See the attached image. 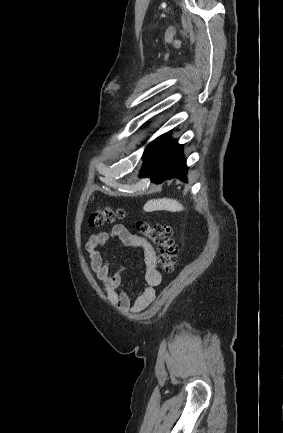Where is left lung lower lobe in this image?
<instances>
[{"mask_svg":"<svg viewBox=\"0 0 283 433\" xmlns=\"http://www.w3.org/2000/svg\"><path fill=\"white\" fill-rule=\"evenodd\" d=\"M182 151V145L177 141H171L168 134L159 136L147 146L144 152L140 177H149L157 183L176 177L187 181L188 167Z\"/></svg>","mask_w":283,"mask_h":433,"instance_id":"1","label":"left lung lower lobe"}]
</instances>
